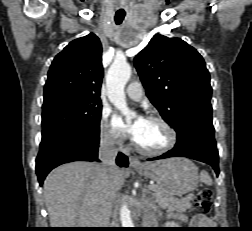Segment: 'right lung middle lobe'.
I'll list each match as a JSON object with an SVG mask.
<instances>
[{"mask_svg": "<svg viewBox=\"0 0 252 231\" xmlns=\"http://www.w3.org/2000/svg\"><path fill=\"white\" fill-rule=\"evenodd\" d=\"M42 107V138L60 131L100 133V100L61 94L44 99Z\"/></svg>", "mask_w": 252, "mask_h": 231, "instance_id": "obj_1", "label": "right lung middle lobe"}]
</instances>
